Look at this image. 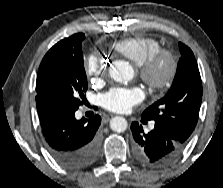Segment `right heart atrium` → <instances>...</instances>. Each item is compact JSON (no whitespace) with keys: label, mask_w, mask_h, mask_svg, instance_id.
Instances as JSON below:
<instances>
[{"label":"right heart atrium","mask_w":223,"mask_h":188,"mask_svg":"<svg viewBox=\"0 0 223 188\" xmlns=\"http://www.w3.org/2000/svg\"><path fill=\"white\" fill-rule=\"evenodd\" d=\"M86 73L90 77L103 74L107 67V61L98 53L90 54L86 59Z\"/></svg>","instance_id":"d8ad5b80"}]
</instances>
